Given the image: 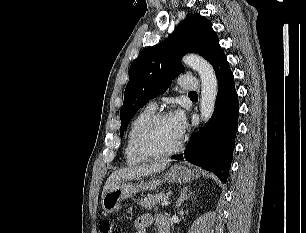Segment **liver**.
I'll return each instance as SVG.
<instances>
[{"mask_svg": "<svg viewBox=\"0 0 306 233\" xmlns=\"http://www.w3.org/2000/svg\"><path fill=\"white\" fill-rule=\"evenodd\" d=\"M169 163H170V160H160L152 164H145L141 166H131V167L124 168V169L113 172L109 176V178L107 179L104 185L102 197L108 191V189L114 186L115 184L120 183L122 181L137 179L142 176H147L153 173L161 172L164 169H166Z\"/></svg>", "mask_w": 306, "mask_h": 233, "instance_id": "liver-1", "label": "liver"}]
</instances>
